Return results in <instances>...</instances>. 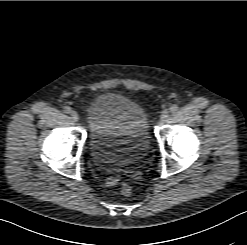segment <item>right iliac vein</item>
Wrapping results in <instances>:
<instances>
[{
    "mask_svg": "<svg viewBox=\"0 0 247 245\" xmlns=\"http://www.w3.org/2000/svg\"><path fill=\"white\" fill-rule=\"evenodd\" d=\"M70 116H71L72 120L75 122H77L79 120V115L76 111H71Z\"/></svg>",
    "mask_w": 247,
    "mask_h": 245,
    "instance_id": "1",
    "label": "right iliac vein"
}]
</instances>
